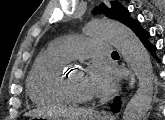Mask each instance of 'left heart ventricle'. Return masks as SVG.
Instances as JSON below:
<instances>
[{"instance_id":"left-heart-ventricle-1","label":"left heart ventricle","mask_w":165,"mask_h":120,"mask_svg":"<svg viewBox=\"0 0 165 120\" xmlns=\"http://www.w3.org/2000/svg\"><path fill=\"white\" fill-rule=\"evenodd\" d=\"M69 80L73 89L80 95L95 97L87 78V73L82 69H73L69 72Z\"/></svg>"}]
</instances>
